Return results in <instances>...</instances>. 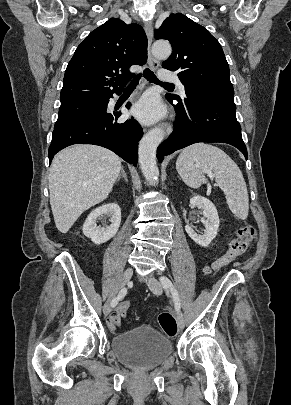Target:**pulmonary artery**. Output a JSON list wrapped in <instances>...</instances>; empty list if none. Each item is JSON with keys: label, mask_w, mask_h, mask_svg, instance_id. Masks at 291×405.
<instances>
[{"label": "pulmonary artery", "mask_w": 291, "mask_h": 405, "mask_svg": "<svg viewBox=\"0 0 291 405\" xmlns=\"http://www.w3.org/2000/svg\"><path fill=\"white\" fill-rule=\"evenodd\" d=\"M159 79L167 82H175L178 85L181 93H185L184 85L181 83L178 76L174 72L162 69L159 71Z\"/></svg>", "instance_id": "obj_1"}]
</instances>
